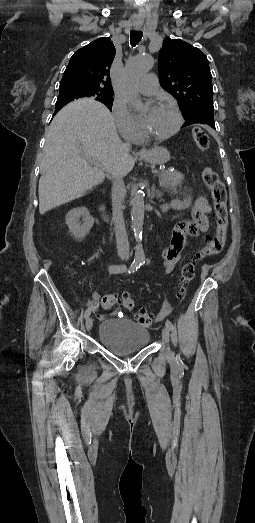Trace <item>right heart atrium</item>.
<instances>
[{
  "label": "right heart atrium",
  "mask_w": 255,
  "mask_h": 523,
  "mask_svg": "<svg viewBox=\"0 0 255 523\" xmlns=\"http://www.w3.org/2000/svg\"><path fill=\"white\" fill-rule=\"evenodd\" d=\"M111 117L120 135L125 140H132L137 136L139 131L138 123L124 101L119 99L113 101Z\"/></svg>",
  "instance_id": "d8ad5b80"
}]
</instances>
